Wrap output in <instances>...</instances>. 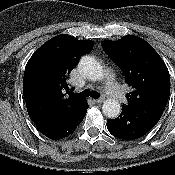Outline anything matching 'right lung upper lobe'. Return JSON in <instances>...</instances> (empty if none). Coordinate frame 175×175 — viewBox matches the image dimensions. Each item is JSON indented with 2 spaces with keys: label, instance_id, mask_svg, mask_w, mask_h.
I'll use <instances>...</instances> for the list:
<instances>
[{
  "label": "right lung upper lobe",
  "instance_id": "1",
  "mask_svg": "<svg viewBox=\"0 0 175 175\" xmlns=\"http://www.w3.org/2000/svg\"><path fill=\"white\" fill-rule=\"evenodd\" d=\"M93 48L92 41H78L66 34L45 42L29 59L23 78V95L30 118L54 112L74 113L87 106L67 83L80 57Z\"/></svg>",
  "mask_w": 175,
  "mask_h": 175
}]
</instances>
